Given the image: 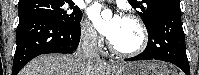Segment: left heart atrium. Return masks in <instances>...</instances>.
Here are the masks:
<instances>
[{
    "instance_id": "39dd6f15",
    "label": "left heart atrium",
    "mask_w": 199,
    "mask_h": 75,
    "mask_svg": "<svg viewBox=\"0 0 199 75\" xmlns=\"http://www.w3.org/2000/svg\"><path fill=\"white\" fill-rule=\"evenodd\" d=\"M90 17L94 21L98 31L110 41L119 31L124 18L115 14L110 20L102 18V6L99 4L93 5L89 10Z\"/></svg>"
}]
</instances>
